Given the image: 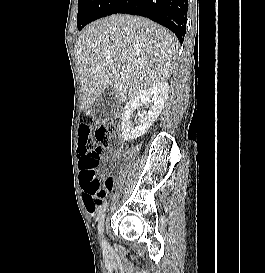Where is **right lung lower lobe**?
I'll list each match as a JSON object with an SVG mask.
<instances>
[{
  "label": "right lung lower lobe",
  "instance_id": "98d812e1",
  "mask_svg": "<svg viewBox=\"0 0 265 273\" xmlns=\"http://www.w3.org/2000/svg\"><path fill=\"white\" fill-rule=\"evenodd\" d=\"M188 0H118L106 16L125 13L147 17L170 29L184 41Z\"/></svg>",
  "mask_w": 265,
  "mask_h": 273
}]
</instances>
